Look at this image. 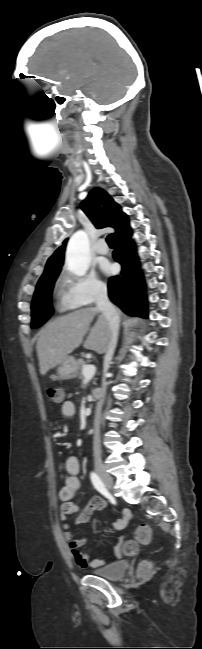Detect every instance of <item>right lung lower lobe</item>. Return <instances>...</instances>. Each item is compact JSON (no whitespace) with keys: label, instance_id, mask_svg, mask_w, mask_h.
Returning a JSON list of instances; mask_svg holds the SVG:
<instances>
[{"label":"right lung lower lobe","instance_id":"98d812e1","mask_svg":"<svg viewBox=\"0 0 202 649\" xmlns=\"http://www.w3.org/2000/svg\"><path fill=\"white\" fill-rule=\"evenodd\" d=\"M129 230L114 238L113 258L121 264L119 275L109 279L110 300L128 315L148 317L143 274L140 270L136 247Z\"/></svg>","mask_w":202,"mask_h":649}]
</instances>
